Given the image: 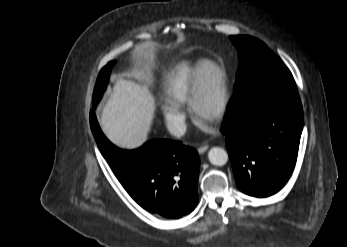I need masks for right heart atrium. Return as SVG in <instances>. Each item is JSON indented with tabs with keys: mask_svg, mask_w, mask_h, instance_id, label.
I'll return each mask as SVG.
<instances>
[{
	"mask_svg": "<svg viewBox=\"0 0 347 247\" xmlns=\"http://www.w3.org/2000/svg\"><path fill=\"white\" fill-rule=\"evenodd\" d=\"M161 112L169 130L177 136L182 135L186 129V114L181 105L166 101Z\"/></svg>",
	"mask_w": 347,
	"mask_h": 247,
	"instance_id": "right-heart-atrium-1",
	"label": "right heart atrium"
}]
</instances>
